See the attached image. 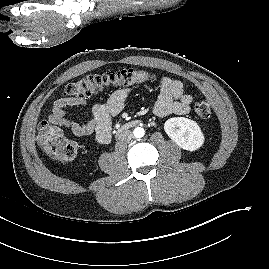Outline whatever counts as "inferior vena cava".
Instances as JSON below:
<instances>
[{"label": "inferior vena cava", "mask_w": 269, "mask_h": 269, "mask_svg": "<svg viewBox=\"0 0 269 269\" xmlns=\"http://www.w3.org/2000/svg\"><path fill=\"white\" fill-rule=\"evenodd\" d=\"M133 138V133L130 130H125L119 135L121 142H128Z\"/></svg>", "instance_id": "1"}]
</instances>
